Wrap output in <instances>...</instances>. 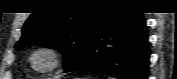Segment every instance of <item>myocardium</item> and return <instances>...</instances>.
Listing matches in <instances>:
<instances>
[{"instance_id":"f54148a6","label":"myocardium","mask_w":177,"mask_h":79,"mask_svg":"<svg viewBox=\"0 0 177 79\" xmlns=\"http://www.w3.org/2000/svg\"><path fill=\"white\" fill-rule=\"evenodd\" d=\"M39 54H48L50 56L51 62L48 66L39 68L34 64V58ZM61 62V52L60 50L50 44H42L37 46L29 56V63L31 67L38 72L48 73L56 69Z\"/></svg>"}]
</instances>
